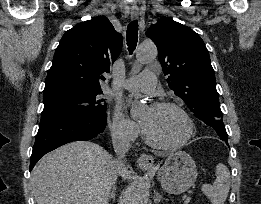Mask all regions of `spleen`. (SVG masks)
<instances>
[{
  "label": "spleen",
  "mask_w": 261,
  "mask_h": 204,
  "mask_svg": "<svg viewBox=\"0 0 261 204\" xmlns=\"http://www.w3.org/2000/svg\"><path fill=\"white\" fill-rule=\"evenodd\" d=\"M216 180L211 184L202 185V192L212 204H224L230 189V173L228 168L219 163L216 166Z\"/></svg>",
  "instance_id": "spleen-1"
}]
</instances>
